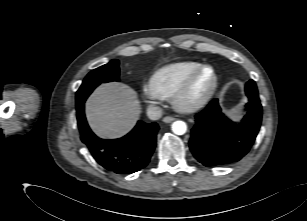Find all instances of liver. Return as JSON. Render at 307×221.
<instances>
[{"mask_svg": "<svg viewBox=\"0 0 307 221\" xmlns=\"http://www.w3.org/2000/svg\"><path fill=\"white\" fill-rule=\"evenodd\" d=\"M87 121L94 133L104 139L127 134L141 114L137 93L129 86L111 82L101 84L85 104Z\"/></svg>", "mask_w": 307, "mask_h": 221, "instance_id": "obj_1", "label": "liver"}]
</instances>
